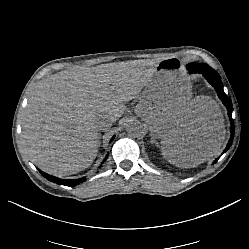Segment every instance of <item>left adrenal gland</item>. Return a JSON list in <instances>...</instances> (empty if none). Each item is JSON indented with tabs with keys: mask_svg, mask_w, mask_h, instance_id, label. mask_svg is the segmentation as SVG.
<instances>
[{
	"mask_svg": "<svg viewBox=\"0 0 249 249\" xmlns=\"http://www.w3.org/2000/svg\"><path fill=\"white\" fill-rule=\"evenodd\" d=\"M151 143H155L158 146V142L154 138H152Z\"/></svg>",
	"mask_w": 249,
	"mask_h": 249,
	"instance_id": "left-adrenal-gland-1",
	"label": "left adrenal gland"
}]
</instances>
